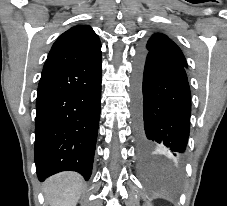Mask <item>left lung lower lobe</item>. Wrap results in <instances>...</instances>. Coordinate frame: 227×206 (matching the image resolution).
Listing matches in <instances>:
<instances>
[{"instance_id": "obj_1", "label": "left lung lower lobe", "mask_w": 227, "mask_h": 206, "mask_svg": "<svg viewBox=\"0 0 227 206\" xmlns=\"http://www.w3.org/2000/svg\"><path fill=\"white\" fill-rule=\"evenodd\" d=\"M185 66L140 51L134 68L135 138L140 151L180 158L190 131L191 94Z\"/></svg>"}]
</instances>
